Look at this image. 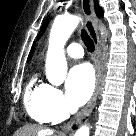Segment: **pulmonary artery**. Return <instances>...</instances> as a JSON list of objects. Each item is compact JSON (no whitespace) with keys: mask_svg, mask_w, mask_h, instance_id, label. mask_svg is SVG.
Listing matches in <instances>:
<instances>
[{"mask_svg":"<svg viewBox=\"0 0 136 136\" xmlns=\"http://www.w3.org/2000/svg\"><path fill=\"white\" fill-rule=\"evenodd\" d=\"M66 53L73 58H82L84 54L82 47L78 43L68 45Z\"/></svg>","mask_w":136,"mask_h":136,"instance_id":"1","label":"pulmonary artery"}]
</instances>
